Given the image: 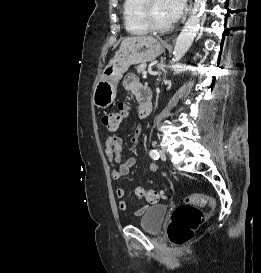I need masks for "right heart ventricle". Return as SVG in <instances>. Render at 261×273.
<instances>
[{
  "instance_id": "obj_1",
  "label": "right heart ventricle",
  "mask_w": 261,
  "mask_h": 273,
  "mask_svg": "<svg viewBox=\"0 0 261 273\" xmlns=\"http://www.w3.org/2000/svg\"><path fill=\"white\" fill-rule=\"evenodd\" d=\"M143 0H124L123 22L126 31L132 35H143L149 29L141 19V5Z\"/></svg>"
}]
</instances>
